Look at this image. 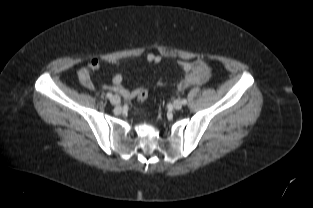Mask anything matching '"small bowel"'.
<instances>
[{
  "label": "small bowel",
  "mask_w": 313,
  "mask_h": 208,
  "mask_svg": "<svg viewBox=\"0 0 313 208\" xmlns=\"http://www.w3.org/2000/svg\"><path fill=\"white\" fill-rule=\"evenodd\" d=\"M162 60L161 56L148 53L146 55V61L149 63H160ZM182 70L185 73L183 80L178 84L179 89H185L192 85L203 84L210 77V68L203 60L195 61H180L179 62ZM101 66L99 59H91L87 66L81 68L78 71V79L83 87L92 91L94 90V84L92 81V73L97 71ZM102 87L106 90L114 91L126 99L135 98L140 89H128L123 85V75L121 72L116 73L112 78L111 84H103Z\"/></svg>",
  "instance_id": "c3829d8e"
}]
</instances>
